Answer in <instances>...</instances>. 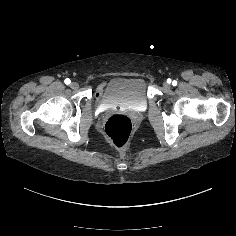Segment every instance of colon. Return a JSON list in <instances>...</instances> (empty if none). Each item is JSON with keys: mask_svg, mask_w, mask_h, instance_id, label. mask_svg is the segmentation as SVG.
Segmentation results:
<instances>
[{"mask_svg": "<svg viewBox=\"0 0 236 236\" xmlns=\"http://www.w3.org/2000/svg\"><path fill=\"white\" fill-rule=\"evenodd\" d=\"M133 129V122L129 116L115 114L106 121L104 132L115 147L122 149L128 144Z\"/></svg>", "mask_w": 236, "mask_h": 236, "instance_id": "obj_1", "label": "colon"}]
</instances>
